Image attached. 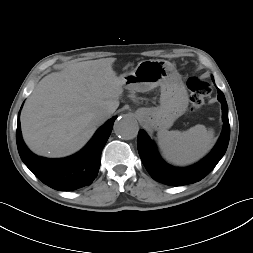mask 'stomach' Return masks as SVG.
<instances>
[{"mask_svg": "<svg viewBox=\"0 0 253 253\" xmlns=\"http://www.w3.org/2000/svg\"><path fill=\"white\" fill-rule=\"evenodd\" d=\"M131 91L147 92L160 86V106L138 110L140 120L154 130L169 129L188 107V93L175 66L165 60H143L121 75Z\"/></svg>", "mask_w": 253, "mask_h": 253, "instance_id": "1", "label": "stomach"}]
</instances>
